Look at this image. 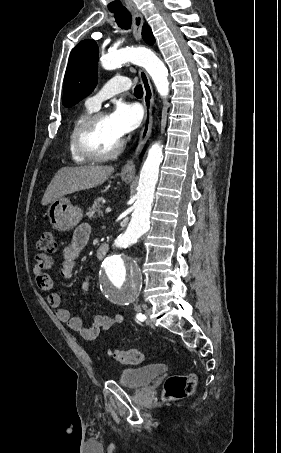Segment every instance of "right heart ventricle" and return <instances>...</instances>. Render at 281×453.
<instances>
[{"label":"right heart ventricle","mask_w":281,"mask_h":453,"mask_svg":"<svg viewBox=\"0 0 281 453\" xmlns=\"http://www.w3.org/2000/svg\"><path fill=\"white\" fill-rule=\"evenodd\" d=\"M94 112H96V109H94L90 105H88L86 107V109L75 118V120L73 121L71 128L69 130V134H68L69 150H70L72 159L77 163H83V162L87 161V159L84 158L78 151L77 143H76L77 134H78V131H79L81 125L89 117H91L94 114Z\"/></svg>","instance_id":"e07e8e85"}]
</instances>
